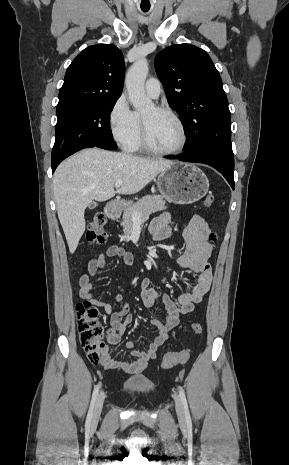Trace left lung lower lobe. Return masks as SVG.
<instances>
[{
    "label": "left lung lower lobe",
    "instance_id": "1",
    "mask_svg": "<svg viewBox=\"0 0 289 465\" xmlns=\"http://www.w3.org/2000/svg\"><path fill=\"white\" fill-rule=\"evenodd\" d=\"M169 159H179L185 162H197L207 164L217 169L234 189V157L233 153L216 148H203L190 152H184L177 156H167Z\"/></svg>",
    "mask_w": 289,
    "mask_h": 465
}]
</instances>
